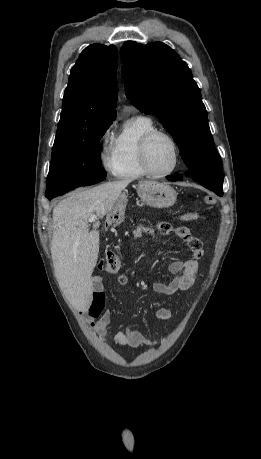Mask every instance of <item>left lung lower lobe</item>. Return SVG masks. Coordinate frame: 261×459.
I'll return each instance as SVG.
<instances>
[{"mask_svg": "<svg viewBox=\"0 0 261 459\" xmlns=\"http://www.w3.org/2000/svg\"><path fill=\"white\" fill-rule=\"evenodd\" d=\"M169 181H179L182 180V177L180 174L176 175H170L167 177ZM194 181L202 184L205 188L212 190L215 192L218 196H223V178L219 177H214V176H204V177H198V178H193Z\"/></svg>", "mask_w": 261, "mask_h": 459, "instance_id": "obj_1", "label": "left lung lower lobe"}]
</instances>
